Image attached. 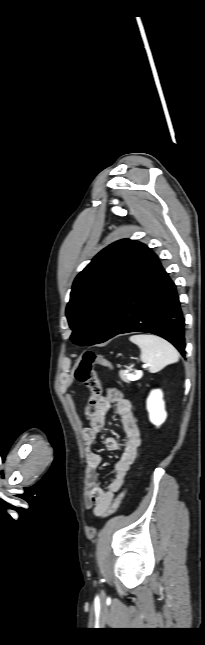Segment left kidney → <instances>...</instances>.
Listing matches in <instances>:
<instances>
[{
  "instance_id": "1",
  "label": "left kidney",
  "mask_w": 205,
  "mask_h": 645,
  "mask_svg": "<svg viewBox=\"0 0 205 645\" xmlns=\"http://www.w3.org/2000/svg\"><path fill=\"white\" fill-rule=\"evenodd\" d=\"M147 410L149 419L154 425L160 426L166 420L167 413L165 411L163 393L160 389L151 391L147 398Z\"/></svg>"
}]
</instances>
